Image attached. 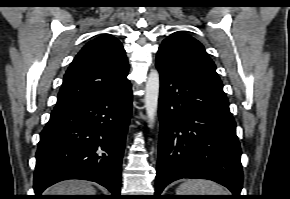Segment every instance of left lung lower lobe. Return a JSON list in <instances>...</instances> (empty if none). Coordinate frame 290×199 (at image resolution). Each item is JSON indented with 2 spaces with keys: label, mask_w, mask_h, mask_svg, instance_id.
<instances>
[{
  "label": "left lung lower lobe",
  "mask_w": 290,
  "mask_h": 199,
  "mask_svg": "<svg viewBox=\"0 0 290 199\" xmlns=\"http://www.w3.org/2000/svg\"><path fill=\"white\" fill-rule=\"evenodd\" d=\"M160 135L156 196L182 178L216 181L240 199L243 172L236 124L223 86L174 64L158 52Z\"/></svg>",
  "instance_id": "0a47b994"
}]
</instances>
